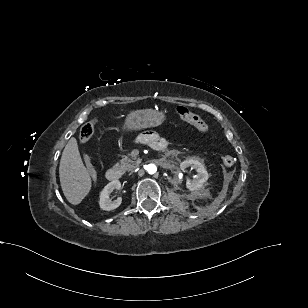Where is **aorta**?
<instances>
[{
    "label": "aorta",
    "instance_id": "762f6f07",
    "mask_svg": "<svg viewBox=\"0 0 308 308\" xmlns=\"http://www.w3.org/2000/svg\"><path fill=\"white\" fill-rule=\"evenodd\" d=\"M146 170L149 174H154L157 171V167L154 164H149L146 166Z\"/></svg>",
    "mask_w": 308,
    "mask_h": 308
}]
</instances>
